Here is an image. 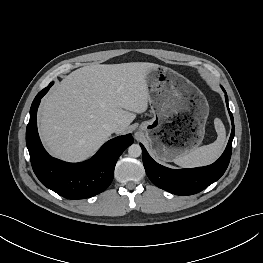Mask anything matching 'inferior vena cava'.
Instances as JSON below:
<instances>
[{
    "instance_id": "602c4592",
    "label": "inferior vena cava",
    "mask_w": 263,
    "mask_h": 263,
    "mask_svg": "<svg viewBox=\"0 0 263 263\" xmlns=\"http://www.w3.org/2000/svg\"><path fill=\"white\" fill-rule=\"evenodd\" d=\"M105 127L110 133H114L118 130L119 125L116 122H112V123L107 124Z\"/></svg>"
}]
</instances>
